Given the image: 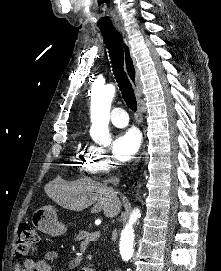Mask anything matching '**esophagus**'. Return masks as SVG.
Wrapping results in <instances>:
<instances>
[{
	"mask_svg": "<svg viewBox=\"0 0 221 271\" xmlns=\"http://www.w3.org/2000/svg\"><path fill=\"white\" fill-rule=\"evenodd\" d=\"M118 32L122 38L123 50H124V58H125V71L128 79L130 80L131 85L134 88V92L138 99V113L140 120H142V106L140 103V99L142 96L143 85L140 80V72L136 66L135 58L133 57L130 43L128 41V36L123 28H117ZM145 150V145H143L139 158L143 156Z\"/></svg>",
	"mask_w": 221,
	"mask_h": 271,
	"instance_id": "34e87169",
	"label": "esophagus"
}]
</instances>
